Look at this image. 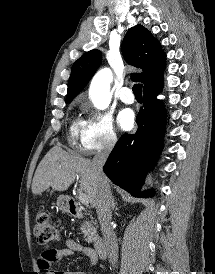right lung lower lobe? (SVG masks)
<instances>
[{"label": "right lung lower lobe", "instance_id": "1", "mask_svg": "<svg viewBox=\"0 0 215 274\" xmlns=\"http://www.w3.org/2000/svg\"><path fill=\"white\" fill-rule=\"evenodd\" d=\"M161 88L162 85L144 90V106L136 119L137 131L121 136L103 167L114 184L134 197L153 196L152 190L141 192L140 187L162 148L165 114L162 103L156 99Z\"/></svg>", "mask_w": 215, "mask_h": 274}]
</instances>
